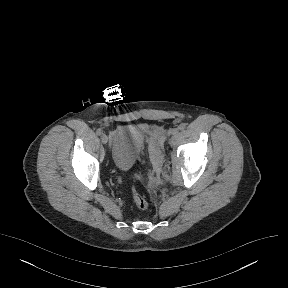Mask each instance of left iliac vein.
Segmentation results:
<instances>
[{
	"mask_svg": "<svg viewBox=\"0 0 288 288\" xmlns=\"http://www.w3.org/2000/svg\"><path fill=\"white\" fill-rule=\"evenodd\" d=\"M169 133H170L171 135H175V134L178 133V129H177V128H173V129L170 130Z\"/></svg>",
	"mask_w": 288,
	"mask_h": 288,
	"instance_id": "1",
	"label": "left iliac vein"
}]
</instances>
